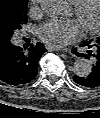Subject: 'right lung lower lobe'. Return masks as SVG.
Wrapping results in <instances>:
<instances>
[{"label": "right lung lower lobe", "instance_id": "right-lung-lower-lobe-1", "mask_svg": "<svg viewBox=\"0 0 100 118\" xmlns=\"http://www.w3.org/2000/svg\"><path fill=\"white\" fill-rule=\"evenodd\" d=\"M46 50L38 42L27 50L11 43L0 45V80L18 86L30 82L38 72V61Z\"/></svg>", "mask_w": 100, "mask_h": 118}]
</instances>
